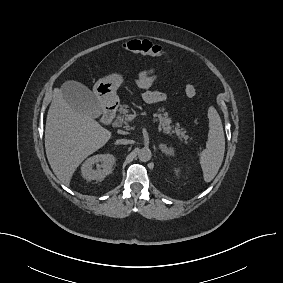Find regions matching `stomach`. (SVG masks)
Segmentation results:
<instances>
[{"label":"stomach","instance_id":"0dacf381","mask_svg":"<svg viewBox=\"0 0 283 283\" xmlns=\"http://www.w3.org/2000/svg\"><path fill=\"white\" fill-rule=\"evenodd\" d=\"M123 81V75L120 73H113L98 80L93 87L98 102L102 106L115 105L119 100L116 91Z\"/></svg>","mask_w":283,"mask_h":283}]
</instances>
